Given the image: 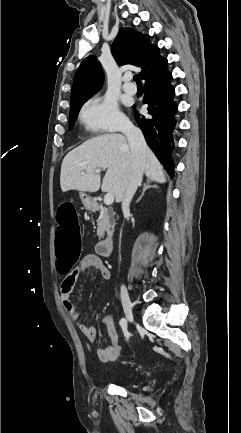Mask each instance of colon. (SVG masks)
I'll return each instance as SVG.
<instances>
[{
  "label": "colon",
  "instance_id": "5ec220e1",
  "mask_svg": "<svg viewBox=\"0 0 241 433\" xmlns=\"http://www.w3.org/2000/svg\"><path fill=\"white\" fill-rule=\"evenodd\" d=\"M78 205H59V212H54L57 221L55 230V269L57 272H72L78 261L81 247V221L78 218ZM119 352V349H118Z\"/></svg>",
  "mask_w": 241,
  "mask_h": 433
}]
</instances>
